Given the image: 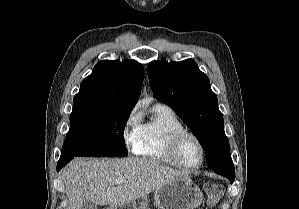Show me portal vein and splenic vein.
<instances>
[{"instance_id":"portal-vein-and-splenic-vein-1","label":"portal vein and splenic vein","mask_w":299,"mask_h":209,"mask_svg":"<svg viewBox=\"0 0 299 209\" xmlns=\"http://www.w3.org/2000/svg\"><path fill=\"white\" fill-rule=\"evenodd\" d=\"M123 181L122 180H116L115 183L116 184H121Z\"/></svg>"}]
</instances>
